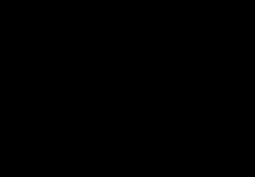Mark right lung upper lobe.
Instances as JSON below:
<instances>
[{
  "mask_svg": "<svg viewBox=\"0 0 255 177\" xmlns=\"http://www.w3.org/2000/svg\"><path fill=\"white\" fill-rule=\"evenodd\" d=\"M121 38L83 32L65 42L50 58L44 75V96L53 116L65 107L91 104L101 98L92 89L103 69V53Z\"/></svg>",
  "mask_w": 255,
  "mask_h": 177,
  "instance_id": "cb5924a9",
  "label": "right lung upper lobe"
}]
</instances>
